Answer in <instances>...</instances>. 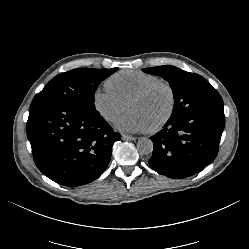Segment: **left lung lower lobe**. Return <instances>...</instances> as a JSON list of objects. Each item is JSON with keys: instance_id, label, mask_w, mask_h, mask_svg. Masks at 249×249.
Segmentation results:
<instances>
[{"instance_id": "obj_1", "label": "left lung lower lobe", "mask_w": 249, "mask_h": 249, "mask_svg": "<svg viewBox=\"0 0 249 249\" xmlns=\"http://www.w3.org/2000/svg\"><path fill=\"white\" fill-rule=\"evenodd\" d=\"M225 126L223 107L208 108L170 118L152 136L150 167L171 178L194 175L214 161Z\"/></svg>"}]
</instances>
